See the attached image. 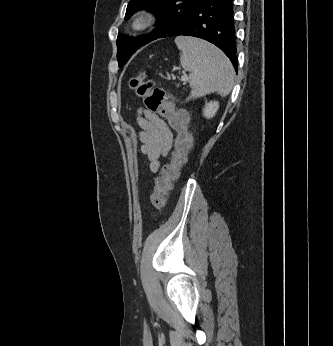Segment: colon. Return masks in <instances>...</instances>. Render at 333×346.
<instances>
[{"instance_id": "5ec220e1", "label": "colon", "mask_w": 333, "mask_h": 346, "mask_svg": "<svg viewBox=\"0 0 333 346\" xmlns=\"http://www.w3.org/2000/svg\"><path fill=\"white\" fill-rule=\"evenodd\" d=\"M131 87L136 94L143 98L146 109L165 118L169 126L177 132L174 141L175 151L169 163L162 168L161 175L156 178L150 203L156 210L162 209L166 204L167 194L172 184L179 178L180 169L187 162L188 152L192 146V134L187 127V114L183 110H176L168 102L164 89L155 85L145 73L131 80Z\"/></svg>"}]
</instances>
